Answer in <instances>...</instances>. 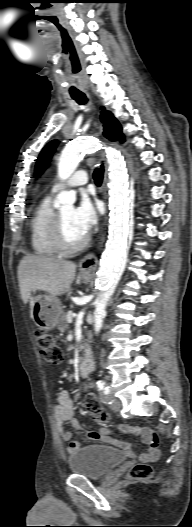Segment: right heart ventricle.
I'll list each match as a JSON object with an SVG mask.
<instances>
[{"label":"right heart ventricle","mask_w":192,"mask_h":527,"mask_svg":"<svg viewBox=\"0 0 192 527\" xmlns=\"http://www.w3.org/2000/svg\"><path fill=\"white\" fill-rule=\"evenodd\" d=\"M55 212L50 197L36 207L30 220L31 246L34 253L42 257H53L60 253L53 238Z\"/></svg>","instance_id":"obj_1"}]
</instances>
